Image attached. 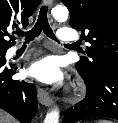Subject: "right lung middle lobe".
<instances>
[{
    "mask_svg": "<svg viewBox=\"0 0 118 123\" xmlns=\"http://www.w3.org/2000/svg\"><path fill=\"white\" fill-rule=\"evenodd\" d=\"M7 50H1L0 51V62H5V54Z\"/></svg>",
    "mask_w": 118,
    "mask_h": 123,
    "instance_id": "dd1d6c3e",
    "label": "right lung middle lobe"
}]
</instances>
